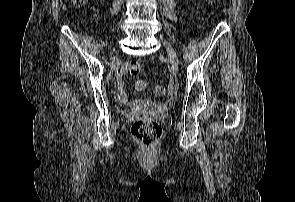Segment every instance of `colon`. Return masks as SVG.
<instances>
[{
    "label": "colon",
    "instance_id": "obj_1",
    "mask_svg": "<svg viewBox=\"0 0 295 202\" xmlns=\"http://www.w3.org/2000/svg\"><path fill=\"white\" fill-rule=\"evenodd\" d=\"M75 6H81L84 0H71ZM128 70L131 75H138L141 72V64L132 61L128 64ZM138 91H145L149 84L146 81H137L135 85ZM155 91L158 95H165L166 89L163 86H156ZM162 133L161 125L156 118L155 111H151L148 115L137 120L132 126L133 136L143 145L152 146L160 138Z\"/></svg>",
    "mask_w": 295,
    "mask_h": 202
}]
</instances>
